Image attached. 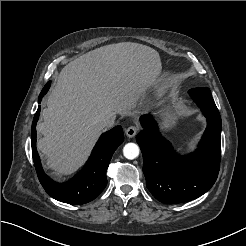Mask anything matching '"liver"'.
I'll return each instance as SVG.
<instances>
[{
    "label": "liver",
    "mask_w": 246,
    "mask_h": 246,
    "mask_svg": "<svg viewBox=\"0 0 246 246\" xmlns=\"http://www.w3.org/2000/svg\"><path fill=\"white\" fill-rule=\"evenodd\" d=\"M161 68L155 49L133 42L102 46L68 63L37 125L42 135L37 148L45 155L46 168L57 175L76 171L102 132L99 120L135 109L157 85Z\"/></svg>",
    "instance_id": "6515ba94"
}]
</instances>
